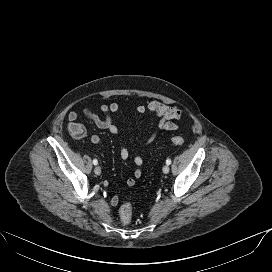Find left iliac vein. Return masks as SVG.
Wrapping results in <instances>:
<instances>
[{
  "label": "left iliac vein",
  "mask_w": 272,
  "mask_h": 272,
  "mask_svg": "<svg viewBox=\"0 0 272 272\" xmlns=\"http://www.w3.org/2000/svg\"><path fill=\"white\" fill-rule=\"evenodd\" d=\"M162 171H163L164 174L169 173V171H170L169 166H168V165H165V166L162 168Z\"/></svg>",
  "instance_id": "1"
}]
</instances>
